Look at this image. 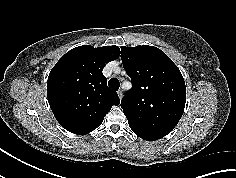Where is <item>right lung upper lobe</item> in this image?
<instances>
[{
	"label": "right lung upper lobe",
	"mask_w": 236,
	"mask_h": 178,
	"mask_svg": "<svg viewBox=\"0 0 236 178\" xmlns=\"http://www.w3.org/2000/svg\"><path fill=\"white\" fill-rule=\"evenodd\" d=\"M120 55L117 46L76 47L52 68L47 81L50 108L68 131L84 135L95 130L113 105L117 93L107 87L104 66Z\"/></svg>",
	"instance_id": "obj_1"
}]
</instances>
